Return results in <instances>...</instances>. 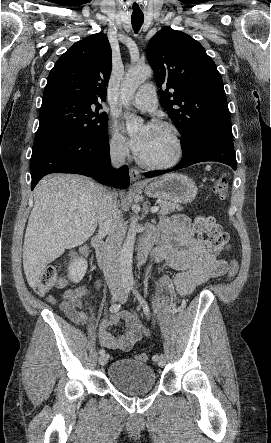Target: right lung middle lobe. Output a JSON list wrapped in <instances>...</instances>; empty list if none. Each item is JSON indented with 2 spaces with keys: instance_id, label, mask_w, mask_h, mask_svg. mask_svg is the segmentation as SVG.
Masks as SVG:
<instances>
[{
  "instance_id": "1",
  "label": "right lung middle lobe",
  "mask_w": 271,
  "mask_h": 443,
  "mask_svg": "<svg viewBox=\"0 0 271 443\" xmlns=\"http://www.w3.org/2000/svg\"><path fill=\"white\" fill-rule=\"evenodd\" d=\"M101 105L73 99L42 103L35 139L49 133H65L93 138L107 131L108 116Z\"/></svg>"
}]
</instances>
